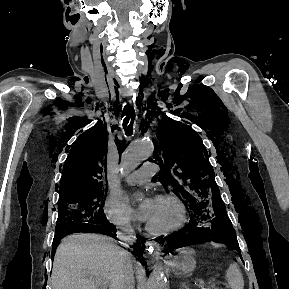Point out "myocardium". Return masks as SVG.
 I'll return each instance as SVG.
<instances>
[{
	"mask_svg": "<svg viewBox=\"0 0 289 289\" xmlns=\"http://www.w3.org/2000/svg\"><path fill=\"white\" fill-rule=\"evenodd\" d=\"M156 199L157 200H167V201L173 202L179 208V210L181 212V218H180V221L176 225L169 227V228H166V229H162V230H156L146 223V225H145L146 231L152 235L162 236V235L172 234V233L182 229L186 225L187 218H188V211H187V208H186L185 204L183 203V201L173 194H160L157 196Z\"/></svg>",
	"mask_w": 289,
	"mask_h": 289,
	"instance_id": "1",
	"label": "myocardium"
}]
</instances>
